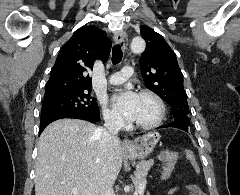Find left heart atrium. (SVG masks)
Listing matches in <instances>:
<instances>
[{
	"instance_id": "obj_1",
	"label": "left heart atrium",
	"mask_w": 240,
	"mask_h": 195,
	"mask_svg": "<svg viewBox=\"0 0 240 195\" xmlns=\"http://www.w3.org/2000/svg\"><path fill=\"white\" fill-rule=\"evenodd\" d=\"M140 96L132 91L115 97L114 102L118 110L129 120L134 121L137 113Z\"/></svg>"
}]
</instances>
